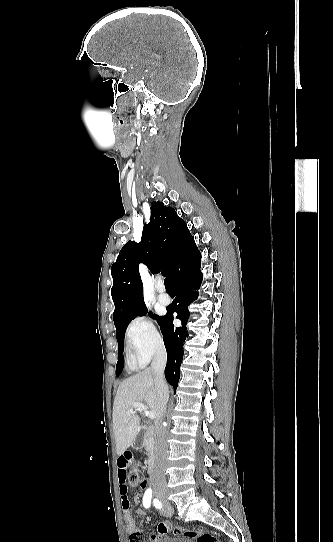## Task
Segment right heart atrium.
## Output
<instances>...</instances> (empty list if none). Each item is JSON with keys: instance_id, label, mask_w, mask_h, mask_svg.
Listing matches in <instances>:
<instances>
[{"instance_id": "d8ad5b80", "label": "right heart atrium", "mask_w": 333, "mask_h": 542, "mask_svg": "<svg viewBox=\"0 0 333 542\" xmlns=\"http://www.w3.org/2000/svg\"><path fill=\"white\" fill-rule=\"evenodd\" d=\"M128 347L138 349L148 359L163 347L162 334L156 323L148 316H139L132 321L126 331Z\"/></svg>"}]
</instances>
